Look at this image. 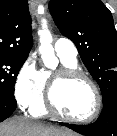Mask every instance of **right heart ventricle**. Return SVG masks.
<instances>
[{
	"mask_svg": "<svg viewBox=\"0 0 117 136\" xmlns=\"http://www.w3.org/2000/svg\"><path fill=\"white\" fill-rule=\"evenodd\" d=\"M59 58L61 60L63 67H66V68H76L77 67V61L73 62V61L63 59L61 57H59ZM42 79H43L42 94H41L40 98L38 99V101L33 106L30 107V113L36 117H41V116H44L48 113L45 99H44V91L48 87V84H49L50 72L45 71V70L42 71Z\"/></svg>",
	"mask_w": 117,
	"mask_h": 136,
	"instance_id": "right-heart-ventricle-1",
	"label": "right heart ventricle"
}]
</instances>
